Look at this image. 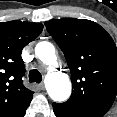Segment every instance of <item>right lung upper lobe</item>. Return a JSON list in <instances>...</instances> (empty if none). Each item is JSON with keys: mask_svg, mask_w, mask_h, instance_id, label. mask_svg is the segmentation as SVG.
Wrapping results in <instances>:
<instances>
[{"mask_svg": "<svg viewBox=\"0 0 117 117\" xmlns=\"http://www.w3.org/2000/svg\"><path fill=\"white\" fill-rule=\"evenodd\" d=\"M41 23L0 22V117H23L33 92L23 85L22 49L39 36Z\"/></svg>", "mask_w": 117, "mask_h": 117, "instance_id": "obj_1", "label": "right lung upper lobe"}]
</instances>
